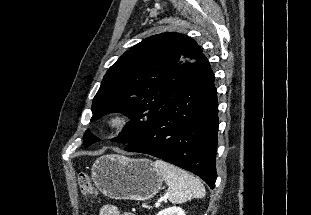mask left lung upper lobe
Segmentation results:
<instances>
[{
    "label": "left lung upper lobe",
    "instance_id": "obj_1",
    "mask_svg": "<svg viewBox=\"0 0 311 215\" xmlns=\"http://www.w3.org/2000/svg\"><path fill=\"white\" fill-rule=\"evenodd\" d=\"M201 56L197 43L180 33L144 39L108 69L92 103L91 121L110 112L124 113L131 120L112 141L132 143L186 83ZM96 141L93 134L85 132V147Z\"/></svg>",
    "mask_w": 311,
    "mask_h": 215
}]
</instances>
